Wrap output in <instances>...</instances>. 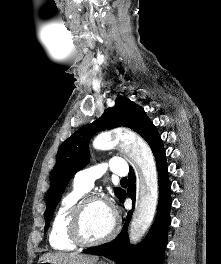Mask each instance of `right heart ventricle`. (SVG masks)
Wrapping results in <instances>:
<instances>
[{
    "label": "right heart ventricle",
    "instance_id": "obj_1",
    "mask_svg": "<svg viewBox=\"0 0 221 264\" xmlns=\"http://www.w3.org/2000/svg\"><path fill=\"white\" fill-rule=\"evenodd\" d=\"M85 193L86 191L74 185L62 198L54 215L49 233L50 245L55 250L71 251L77 247V244L70 239L68 234V219L71 209Z\"/></svg>",
    "mask_w": 221,
    "mask_h": 264
}]
</instances>
